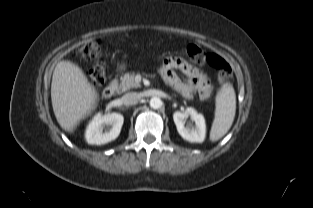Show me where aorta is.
<instances>
[{
    "label": "aorta",
    "mask_w": 313,
    "mask_h": 208,
    "mask_svg": "<svg viewBox=\"0 0 313 208\" xmlns=\"http://www.w3.org/2000/svg\"><path fill=\"white\" fill-rule=\"evenodd\" d=\"M149 103L150 107L153 109H158L162 106V101L159 97H152Z\"/></svg>",
    "instance_id": "1"
}]
</instances>
